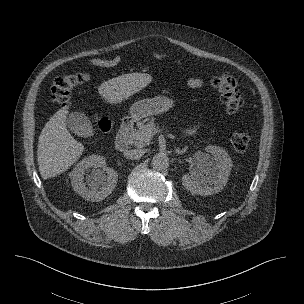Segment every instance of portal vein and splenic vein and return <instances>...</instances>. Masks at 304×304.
<instances>
[{
	"label": "portal vein and splenic vein",
	"mask_w": 304,
	"mask_h": 304,
	"mask_svg": "<svg viewBox=\"0 0 304 304\" xmlns=\"http://www.w3.org/2000/svg\"><path fill=\"white\" fill-rule=\"evenodd\" d=\"M149 134L151 135V136H153L154 134H156L158 131H157V129L156 128H150V130H149Z\"/></svg>",
	"instance_id": "18ae733b"
}]
</instances>
